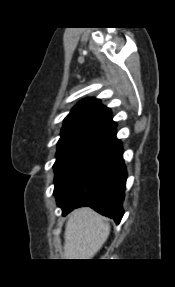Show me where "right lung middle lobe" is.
<instances>
[{"label":"right lung middle lobe","mask_w":175,"mask_h":287,"mask_svg":"<svg viewBox=\"0 0 175 287\" xmlns=\"http://www.w3.org/2000/svg\"><path fill=\"white\" fill-rule=\"evenodd\" d=\"M114 131L115 127L111 126H85L63 130L53 166L55 188L84 157Z\"/></svg>","instance_id":"dd1d6c3e"}]
</instances>
